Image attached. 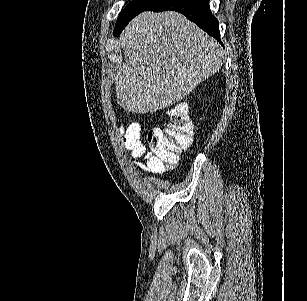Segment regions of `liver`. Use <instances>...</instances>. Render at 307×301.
Segmentation results:
<instances>
[{
    "mask_svg": "<svg viewBox=\"0 0 307 301\" xmlns=\"http://www.w3.org/2000/svg\"><path fill=\"white\" fill-rule=\"evenodd\" d=\"M125 62L115 76L128 112H156L180 102L224 62L219 42L184 14L141 12L119 38Z\"/></svg>",
    "mask_w": 307,
    "mask_h": 301,
    "instance_id": "6515ba94",
    "label": "liver"
}]
</instances>
